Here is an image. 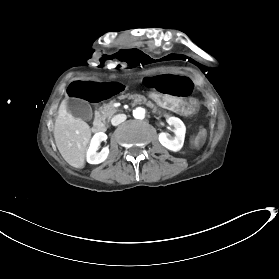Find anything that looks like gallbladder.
Listing matches in <instances>:
<instances>
[{"mask_svg": "<svg viewBox=\"0 0 279 279\" xmlns=\"http://www.w3.org/2000/svg\"><path fill=\"white\" fill-rule=\"evenodd\" d=\"M68 111L75 118L89 119L91 117L90 107L87 105L86 102L82 100L73 101L72 99H70L68 102Z\"/></svg>", "mask_w": 279, "mask_h": 279, "instance_id": "obj_1", "label": "gallbladder"}]
</instances>
